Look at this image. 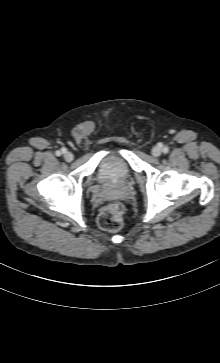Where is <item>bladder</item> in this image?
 <instances>
[{"label": "bladder", "mask_w": 220, "mask_h": 363, "mask_svg": "<svg viewBox=\"0 0 220 363\" xmlns=\"http://www.w3.org/2000/svg\"><path fill=\"white\" fill-rule=\"evenodd\" d=\"M130 163L118 152L101 160L96 177L101 183H124L132 176Z\"/></svg>", "instance_id": "1"}]
</instances>
